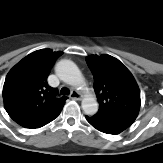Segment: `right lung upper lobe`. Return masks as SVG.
Wrapping results in <instances>:
<instances>
[{"instance_id":"right-lung-upper-lobe-1","label":"right lung upper lobe","mask_w":163,"mask_h":163,"mask_svg":"<svg viewBox=\"0 0 163 163\" xmlns=\"http://www.w3.org/2000/svg\"><path fill=\"white\" fill-rule=\"evenodd\" d=\"M62 54L50 49L37 50L10 70L3 87V100L14 121L47 117L62 110L67 97L57 98V90L47 83L53 64Z\"/></svg>"}]
</instances>
